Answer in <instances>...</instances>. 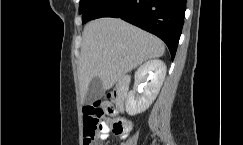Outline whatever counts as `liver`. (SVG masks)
Segmentation results:
<instances>
[{
	"label": "liver",
	"mask_w": 243,
	"mask_h": 145,
	"mask_svg": "<svg viewBox=\"0 0 243 145\" xmlns=\"http://www.w3.org/2000/svg\"><path fill=\"white\" fill-rule=\"evenodd\" d=\"M164 43L154 35L121 19L100 18L89 22L83 31L78 61L79 86L82 100L89 84L99 77L107 90L146 60L159 58Z\"/></svg>",
	"instance_id": "obj_1"
}]
</instances>
